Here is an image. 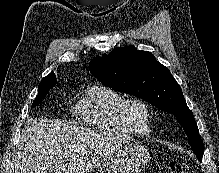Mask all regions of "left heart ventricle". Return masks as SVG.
<instances>
[{"instance_id": "1", "label": "left heart ventricle", "mask_w": 219, "mask_h": 173, "mask_svg": "<svg viewBox=\"0 0 219 173\" xmlns=\"http://www.w3.org/2000/svg\"><path fill=\"white\" fill-rule=\"evenodd\" d=\"M130 116L140 129L145 128L147 123V114L142 107L138 105L132 106L130 109Z\"/></svg>"}]
</instances>
